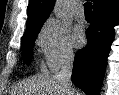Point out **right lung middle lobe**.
<instances>
[{"instance_id":"right-lung-middle-lobe-1","label":"right lung middle lobe","mask_w":119,"mask_h":95,"mask_svg":"<svg viewBox=\"0 0 119 95\" xmlns=\"http://www.w3.org/2000/svg\"><path fill=\"white\" fill-rule=\"evenodd\" d=\"M41 27L26 32L22 37L21 50L25 64L29 65L33 56L34 41L38 36Z\"/></svg>"}]
</instances>
